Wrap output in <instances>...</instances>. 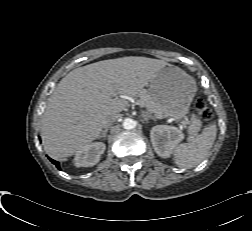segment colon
Returning a JSON list of instances; mask_svg holds the SVG:
<instances>
[{
  "label": "colon",
  "instance_id": "obj_1",
  "mask_svg": "<svg viewBox=\"0 0 252 231\" xmlns=\"http://www.w3.org/2000/svg\"><path fill=\"white\" fill-rule=\"evenodd\" d=\"M194 108L198 114V116L203 120V121H209L211 120L213 113L211 109L206 105L204 100L202 99H197L194 103Z\"/></svg>",
  "mask_w": 252,
  "mask_h": 231
}]
</instances>
